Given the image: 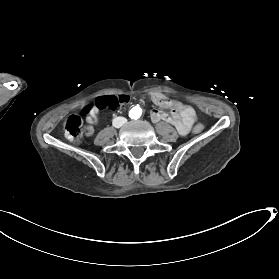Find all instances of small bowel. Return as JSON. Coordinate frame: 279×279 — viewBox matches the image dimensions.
Returning a JSON list of instances; mask_svg holds the SVG:
<instances>
[{"label":"small bowel","mask_w":279,"mask_h":279,"mask_svg":"<svg viewBox=\"0 0 279 279\" xmlns=\"http://www.w3.org/2000/svg\"><path fill=\"white\" fill-rule=\"evenodd\" d=\"M151 101L158 107L171 108V114L153 109L151 111V119L154 122L165 121L172 124L180 135H186L191 130L194 122L195 115L193 113H187L180 109L181 103L168 99L165 95L160 93L151 94ZM98 120V109L93 108L89 111L86 121L88 124V132H92V125Z\"/></svg>","instance_id":"obj_1"}]
</instances>
